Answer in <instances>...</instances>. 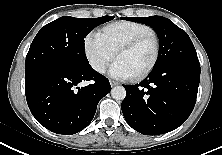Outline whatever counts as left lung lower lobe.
Instances as JSON below:
<instances>
[{
    "mask_svg": "<svg viewBox=\"0 0 222 155\" xmlns=\"http://www.w3.org/2000/svg\"><path fill=\"white\" fill-rule=\"evenodd\" d=\"M200 65L177 62L153 69L139 84L124 86L121 109L127 123L144 135H159L182 125L191 114Z\"/></svg>",
    "mask_w": 222,
    "mask_h": 155,
    "instance_id": "0a47b994",
    "label": "left lung lower lobe"
}]
</instances>
